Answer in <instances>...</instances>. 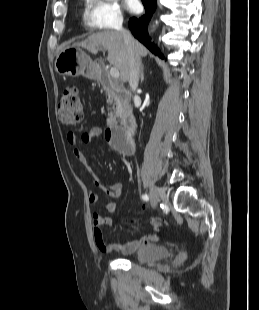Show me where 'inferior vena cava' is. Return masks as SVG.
<instances>
[{"label":"inferior vena cava","mask_w":259,"mask_h":310,"mask_svg":"<svg viewBox=\"0 0 259 310\" xmlns=\"http://www.w3.org/2000/svg\"><path fill=\"white\" fill-rule=\"evenodd\" d=\"M122 23V20L118 22L116 30L122 34L129 52V85L131 90L135 91L139 82L141 58L135 50V41L133 37L123 28Z\"/></svg>","instance_id":"inferior-vena-cava-1"}]
</instances>
